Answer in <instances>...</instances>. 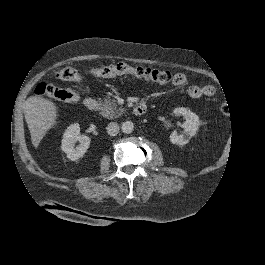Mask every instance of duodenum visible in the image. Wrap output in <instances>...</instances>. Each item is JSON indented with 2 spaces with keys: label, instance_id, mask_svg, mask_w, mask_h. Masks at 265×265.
<instances>
[{
  "label": "duodenum",
  "instance_id": "duodenum-1",
  "mask_svg": "<svg viewBox=\"0 0 265 265\" xmlns=\"http://www.w3.org/2000/svg\"><path fill=\"white\" fill-rule=\"evenodd\" d=\"M84 106L90 110V111H94L97 109L98 103L94 98H86L84 100ZM147 111V106L145 103L141 102L139 104H137L133 110L134 114L137 116H141L144 115Z\"/></svg>",
  "mask_w": 265,
  "mask_h": 265
}]
</instances>
